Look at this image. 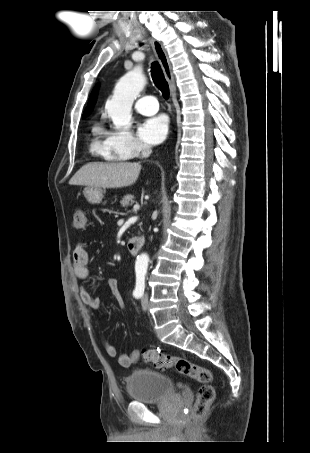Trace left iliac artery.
<instances>
[{
    "label": "left iliac artery",
    "mask_w": 310,
    "mask_h": 453,
    "mask_svg": "<svg viewBox=\"0 0 310 453\" xmlns=\"http://www.w3.org/2000/svg\"><path fill=\"white\" fill-rule=\"evenodd\" d=\"M144 289H145V273L138 272L136 273V286L133 292L134 297L137 299L140 298L144 293Z\"/></svg>",
    "instance_id": "1"
}]
</instances>
